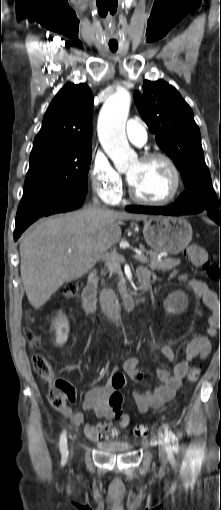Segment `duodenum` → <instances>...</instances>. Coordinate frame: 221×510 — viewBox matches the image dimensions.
I'll return each mask as SVG.
<instances>
[{
  "label": "duodenum",
  "mask_w": 221,
  "mask_h": 510,
  "mask_svg": "<svg viewBox=\"0 0 221 510\" xmlns=\"http://www.w3.org/2000/svg\"><path fill=\"white\" fill-rule=\"evenodd\" d=\"M138 286L142 290L148 289L150 286V276L146 269L140 268L137 271ZM97 284H98V272L96 270L91 271L88 277L87 285L83 292V307L88 315H94L96 311L97 303ZM119 302L122 309L129 311L136 306L137 293L133 291H126L119 297Z\"/></svg>",
  "instance_id": "410a0bca"
}]
</instances>
